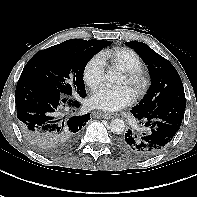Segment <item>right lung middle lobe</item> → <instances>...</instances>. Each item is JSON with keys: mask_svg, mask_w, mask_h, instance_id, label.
<instances>
[{"mask_svg": "<svg viewBox=\"0 0 197 197\" xmlns=\"http://www.w3.org/2000/svg\"><path fill=\"white\" fill-rule=\"evenodd\" d=\"M104 40H67L36 53L21 76L45 80L56 86L62 97H86L83 73L88 61L104 47Z\"/></svg>", "mask_w": 197, "mask_h": 197, "instance_id": "dd1d6c3e", "label": "right lung middle lobe"}]
</instances>
